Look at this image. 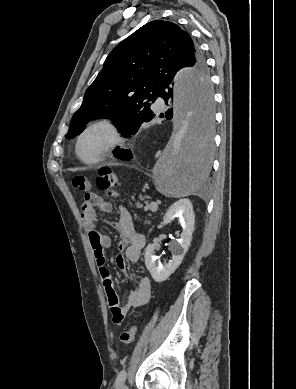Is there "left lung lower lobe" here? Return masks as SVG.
<instances>
[{"mask_svg": "<svg viewBox=\"0 0 296 389\" xmlns=\"http://www.w3.org/2000/svg\"><path fill=\"white\" fill-rule=\"evenodd\" d=\"M200 82L193 79V93L197 96V104L199 108V124L196 130H191L184 141L183 156L189 166V171L194 179H201L204 177V173L208 171L210 166V157L212 150V141L208 134V128L212 122V106L213 97H211V87L207 84H203L200 88ZM174 82H164L159 90V96L165 98V104L169 105V108L165 115L168 120L176 118L177 112V98L175 89H173ZM115 157L121 160H130L132 153L130 150L119 149L118 147L113 151Z\"/></svg>", "mask_w": 296, "mask_h": 389, "instance_id": "left-lung-lower-lobe-1", "label": "left lung lower lobe"}]
</instances>
